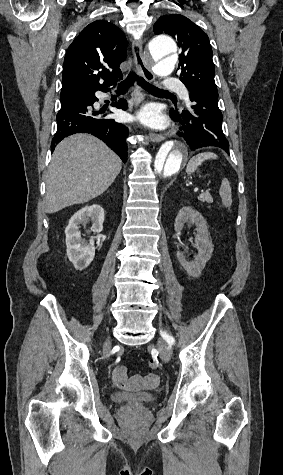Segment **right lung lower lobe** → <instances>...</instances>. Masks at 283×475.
Returning <instances> with one entry per match:
<instances>
[{
	"mask_svg": "<svg viewBox=\"0 0 283 475\" xmlns=\"http://www.w3.org/2000/svg\"><path fill=\"white\" fill-rule=\"evenodd\" d=\"M110 88L99 90H83L61 98V109L57 114V131L52 139L51 151L56 144L75 133L92 134L103 140L123 162L127 160L126 137L128 128L114 119L103 118L105 110L96 111L92 106L98 101L96 91L107 92ZM114 107L127 109L125 99L111 104ZM112 113V112H110Z\"/></svg>",
	"mask_w": 283,
	"mask_h": 475,
	"instance_id": "98d812e1",
	"label": "right lung lower lobe"
}]
</instances>
